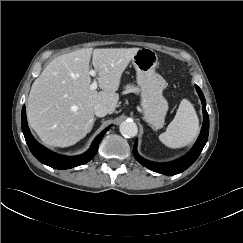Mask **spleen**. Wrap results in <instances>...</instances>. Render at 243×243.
<instances>
[{
    "instance_id": "1",
    "label": "spleen",
    "mask_w": 243,
    "mask_h": 243,
    "mask_svg": "<svg viewBox=\"0 0 243 243\" xmlns=\"http://www.w3.org/2000/svg\"><path fill=\"white\" fill-rule=\"evenodd\" d=\"M199 131V120L193 105L183 99L177 113L166 132L159 135V140L170 148H181L190 144Z\"/></svg>"
}]
</instances>
